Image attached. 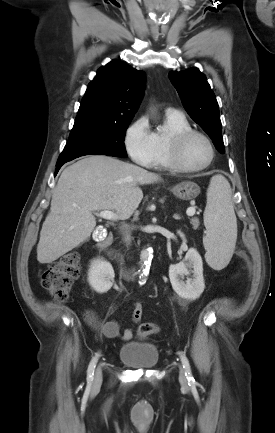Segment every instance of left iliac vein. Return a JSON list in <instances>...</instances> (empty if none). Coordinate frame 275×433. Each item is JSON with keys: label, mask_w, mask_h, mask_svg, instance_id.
Returning a JSON list of instances; mask_svg holds the SVG:
<instances>
[{"label": "left iliac vein", "mask_w": 275, "mask_h": 433, "mask_svg": "<svg viewBox=\"0 0 275 433\" xmlns=\"http://www.w3.org/2000/svg\"><path fill=\"white\" fill-rule=\"evenodd\" d=\"M179 380L183 384L187 383V377L185 375V369L182 366L179 367Z\"/></svg>", "instance_id": "4c4485c4"}]
</instances>
